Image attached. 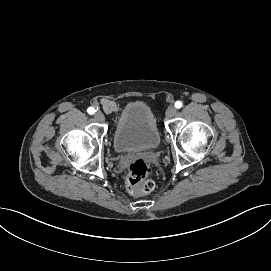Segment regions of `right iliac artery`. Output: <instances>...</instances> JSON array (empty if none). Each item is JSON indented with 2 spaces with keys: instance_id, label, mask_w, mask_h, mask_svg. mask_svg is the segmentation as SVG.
<instances>
[{
  "instance_id": "obj_1",
  "label": "right iliac artery",
  "mask_w": 271,
  "mask_h": 271,
  "mask_svg": "<svg viewBox=\"0 0 271 271\" xmlns=\"http://www.w3.org/2000/svg\"><path fill=\"white\" fill-rule=\"evenodd\" d=\"M87 112L89 113V114H94L95 113V109L93 108V107H89L88 109H87Z\"/></svg>"
}]
</instances>
